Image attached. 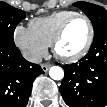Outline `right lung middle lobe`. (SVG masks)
Masks as SVG:
<instances>
[{
    "mask_svg": "<svg viewBox=\"0 0 107 107\" xmlns=\"http://www.w3.org/2000/svg\"><path fill=\"white\" fill-rule=\"evenodd\" d=\"M24 18V11L0 2V44L15 46L13 33L16 25Z\"/></svg>",
    "mask_w": 107,
    "mask_h": 107,
    "instance_id": "right-lung-middle-lobe-1",
    "label": "right lung middle lobe"
}]
</instances>
